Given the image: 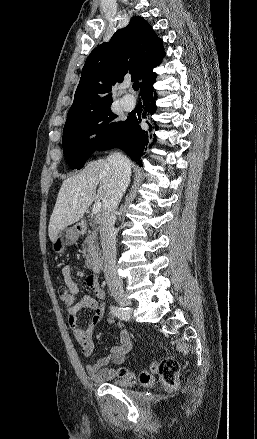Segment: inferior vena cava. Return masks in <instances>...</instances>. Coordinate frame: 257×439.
<instances>
[{
    "instance_id": "1",
    "label": "inferior vena cava",
    "mask_w": 257,
    "mask_h": 439,
    "mask_svg": "<svg viewBox=\"0 0 257 439\" xmlns=\"http://www.w3.org/2000/svg\"><path fill=\"white\" fill-rule=\"evenodd\" d=\"M107 160L114 173L110 188L103 201V212L100 220L103 271L110 288H122L123 281L118 275L116 266V231L114 224L116 220L115 212L130 182L131 163L120 153L112 154Z\"/></svg>"
}]
</instances>
